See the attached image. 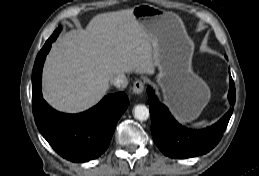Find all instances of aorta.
<instances>
[{
  "label": "aorta",
  "instance_id": "obj_1",
  "mask_svg": "<svg viewBox=\"0 0 259 176\" xmlns=\"http://www.w3.org/2000/svg\"><path fill=\"white\" fill-rule=\"evenodd\" d=\"M134 116L139 121H145L149 118V109L142 104L136 105L134 108Z\"/></svg>",
  "mask_w": 259,
  "mask_h": 176
}]
</instances>
